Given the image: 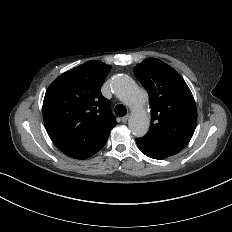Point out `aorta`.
<instances>
[{
  "label": "aorta",
  "instance_id": "762f6f07",
  "mask_svg": "<svg viewBox=\"0 0 232 232\" xmlns=\"http://www.w3.org/2000/svg\"><path fill=\"white\" fill-rule=\"evenodd\" d=\"M114 94L131 109L128 125L136 137H143L149 129L150 117L145 110L147 92L127 75H118L111 81Z\"/></svg>",
  "mask_w": 232,
  "mask_h": 232
}]
</instances>
